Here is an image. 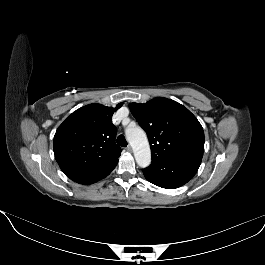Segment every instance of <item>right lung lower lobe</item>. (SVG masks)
I'll use <instances>...</instances> for the list:
<instances>
[{"label": "right lung lower lobe", "mask_w": 265, "mask_h": 265, "mask_svg": "<svg viewBox=\"0 0 265 265\" xmlns=\"http://www.w3.org/2000/svg\"><path fill=\"white\" fill-rule=\"evenodd\" d=\"M110 172L88 171V172H81V173H71V174H67V176L71 180L77 183H80V184H92L94 182H97L103 179Z\"/></svg>", "instance_id": "right-lung-lower-lobe-1"}]
</instances>
